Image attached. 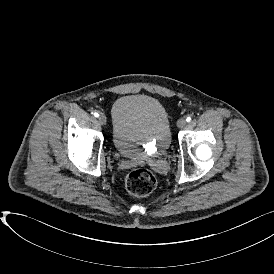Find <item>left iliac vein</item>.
Returning a JSON list of instances; mask_svg holds the SVG:
<instances>
[{"label": "left iliac vein", "instance_id": "1", "mask_svg": "<svg viewBox=\"0 0 274 274\" xmlns=\"http://www.w3.org/2000/svg\"><path fill=\"white\" fill-rule=\"evenodd\" d=\"M187 124V121L184 118H181L177 121V126L179 128H184Z\"/></svg>", "mask_w": 274, "mask_h": 274}]
</instances>
